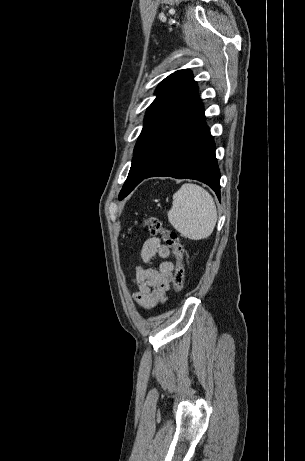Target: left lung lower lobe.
Returning a JSON list of instances; mask_svg holds the SVG:
<instances>
[{"instance_id": "obj_1", "label": "left lung lower lobe", "mask_w": 305, "mask_h": 461, "mask_svg": "<svg viewBox=\"0 0 305 461\" xmlns=\"http://www.w3.org/2000/svg\"><path fill=\"white\" fill-rule=\"evenodd\" d=\"M197 93L196 87L156 132L151 146V163L135 186L154 176L189 178L208 184L220 198L215 144Z\"/></svg>"}]
</instances>
